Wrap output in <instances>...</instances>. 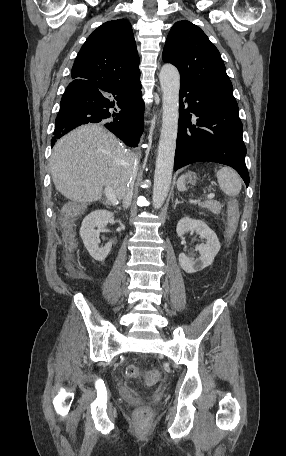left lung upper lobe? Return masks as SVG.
<instances>
[{"mask_svg":"<svg viewBox=\"0 0 286 456\" xmlns=\"http://www.w3.org/2000/svg\"><path fill=\"white\" fill-rule=\"evenodd\" d=\"M163 60L178 68L180 80L237 105L219 51L196 25L187 20L173 25L164 46Z\"/></svg>","mask_w":286,"mask_h":456,"instance_id":"5c2ea615","label":"left lung upper lobe"}]
</instances>
